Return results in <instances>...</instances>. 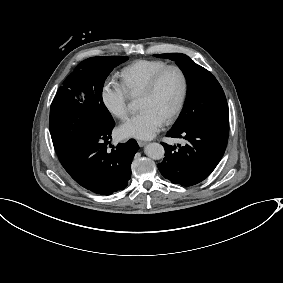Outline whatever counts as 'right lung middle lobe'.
<instances>
[{
  "instance_id": "obj_1",
  "label": "right lung middle lobe",
  "mask_w": 283,
  "mask_h": 283,
  "mask_svg": "<svg viewBox=\"0 0 283 283\" xmlns=\"http://www.w3.org/2000/svg\"><path fill=\"white\" fill-rule=\"evenodd\" d=\"M123 56L92 57L82 61L65 79L51 104L49 128L55 151L61 157L72 151L86 135L114 122L103 103L104 82ZM85 94V100L79 98Z\"/></svg>"
}]
</instances>
